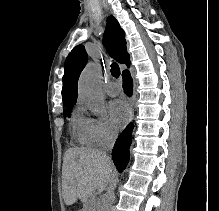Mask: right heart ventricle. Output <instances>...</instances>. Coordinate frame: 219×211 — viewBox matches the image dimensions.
<instances>
[{"label": "right heart ventricle", "instance_id": "obj_1", "mask_svg": "<svg viewBox=\"0 0 219 211\" xmlns=\"http://www.w3.org/2000/svg\"><path fill=\"white\" fill-rule=\"evenodd\" d=\"M72 128L75 136L82 143L92 142L87 129L86 117H83L82 115L75 116L72 120Z\"/></svg>", "mask_w": 219, "mask_h": 211}]
</instances>
